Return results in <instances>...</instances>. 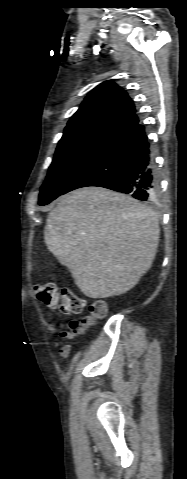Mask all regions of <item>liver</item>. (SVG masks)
Returning <instances> with one entry per match:
<instances>
[{"label":"liver","instance_id":"6515ba94","mask_svg":"<svg viewBox=\"0 0 187 479\" xmlns=\"http://www.w3.org/2000/svg\"><path fill=\"white\" fill-rule=\"evenodd\" d=\"M157 215L130 196L101 187L58 199L44 229L49 251L87 297L131 290L151 268L159 243Z\"/></svg>","mask_w":187,"mask_h":479}]
</instances>
